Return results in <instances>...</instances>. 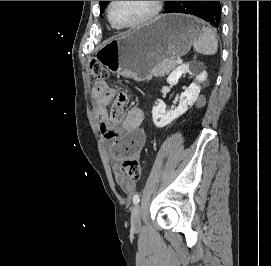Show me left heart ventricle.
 <instances>
[{
    "instance_id": "1",
    "label": "left heart ventricle",
    "mask_w": 271,
    "mask_h": 266,
    "mask_svg": "<svg viewBox=\"0 0 271 266\" xmlns=\"http://www.w3.org/2000/svg\"><path fill=\"white\" fill-rule=\"evenodd\" d=\"M151 7V1H115L111 15L117 24H132L146 16Z\"/></svg>"
}]
</instances>
